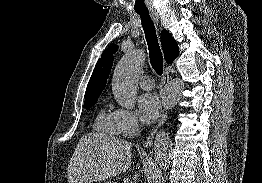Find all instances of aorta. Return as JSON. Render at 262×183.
I'll use <instances>...</instances> for the list:
<instances>
[{"label": "aorta", "instance_id": "762f6f07", "mask_svg": "<svg viewBox=\"0 0 262 183\" xmlns=\"http://www.w3.org/2000/svg\"><path fill=\"white\" fill-rule=\"evenodd\" d=\"M144 53L134 50L126 54L117 64L113 79L112 91L115 99L123 108L132 110L137 100V76L144 64ZM184 91V82L173 79L162 93V105L171 109L180 101ZM155 158L162 170H167L171 159V140L165 131H160L154 141Z\"/></svg>", "mask_w": 262, "mask_h": 183}]
</instances>
